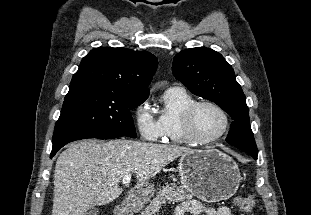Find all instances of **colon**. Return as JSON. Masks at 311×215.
Segmentation results:
<instances>
[{
  "label": "colon",
  "instance_id": "colon-1",
  "mask_svg": "<svg viewBox=\"0 0 311 215\" xmlns=\"http://www.w3.org/2000/svg\"><path fill=\"white\" fill-rule=\"evenodd\" d=\"M233 204L241 215H250L256 206V200L251 195H238L234 198Z\"/></svg>",
  "mask_w": 311,
  "mask_h": 215
}]
</instances>
